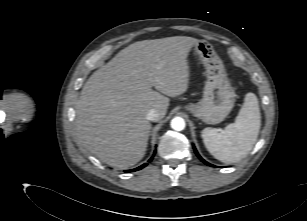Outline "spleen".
Wrapping results in <instances>:
<instances>
[{
	"label": "spleen",
	"instance_id": "spleen-1",
	"mask_svg": "<svg viewBox=\"0 0 307 221\" xmlns=\"http://www.w3.org/2000/svg\"><path fill=\"white\" fill-rule=\"evenodd\" d=\"M261 126V115L257 96L247 93L244 104L234 123L222 132L205 129L202 138L208 152L223 163H237L253 148Z\"/></svg>",
	"mask_w": 307,
	"mask_h": 221
}]
</instances>
